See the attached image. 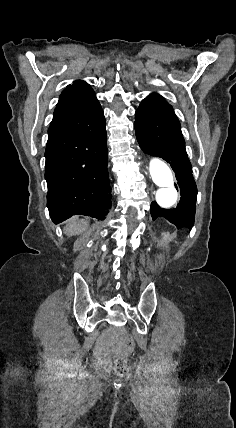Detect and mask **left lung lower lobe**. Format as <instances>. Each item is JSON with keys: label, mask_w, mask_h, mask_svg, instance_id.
I'll use <instances>...</instances> for the list:
<instances>
[{"label": "left lung lower lobe", "mask_w": 236, "mask_h": 428, "mask_svg": "<svg viewBox=\"0 0 236 428\" xmlns=\"http://www.w3.org/2000/svg\"><path fill=\"white\" fill-rule=\"evenodd\" d=\"M135 132L144 153L158 156L170 163L180 190L181 200L174 209H163L156 201L151 204L153 220L165 217L179 228L194 226L197 187L187 157L180 122L171 105L155 101L142 102L135 114Z\"/></svg>", "instance_id": "left-lung-lower-lobe-1"}]
</instances>
